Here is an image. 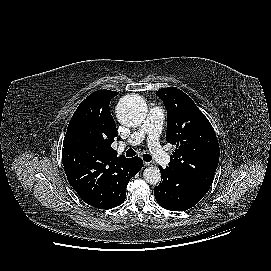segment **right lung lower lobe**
Returning <instances> with one entry per match:
<instances>
[{
	"instance_id": "1",
	"label": "right lung lower lobe",
	"mask_w": 271,
	"mask_h": 271,
	"mask_svg": "<svg viewBox=\"0 0 271 271\" xmlns=\"http://www.w3.org/2000/svg\"><path fill=\"white\" fill-rule=\"evenodd\" d=\"M62 160L70 185L85 203L99 209L122 204L128 182L143 166L139 157H107L70 149L62 151Z\"/></svg>"
}]
</instances>
